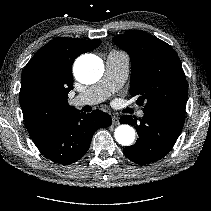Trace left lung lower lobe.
Wrapping results in <instances>:
<instances>
[{"label": "left lung lower lobe", "instance_id": "1", "mask_svg": "<svg viewBox=\"0 0 211 211\" xmlns=\"http://www.w3.org/2000/svg\"><path fill=\"white\" fill-rule=\"evenodd\" d=\"M143 112L144 116L139 119L130 115L120 118V123L137 129L138 140L134 145L125 147L123 153L140 165L156 162L171 151L183 127L185 106L159 105Z\"/></svg>", "mask_w": 211, "mask_h": 211}]
</instances>
